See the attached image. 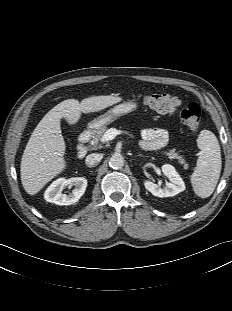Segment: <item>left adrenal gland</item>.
<instances>
[{"mask_svg": "<svg viewBox=\"0 0 232 311\" xmlns=\"http://www.w3.org/2000/svg\"><path fill=\"white\" fill-rule=\"evenodd\" d=\"M138 156H141V157H142L143 155H142V154H139Z\"/></svg>", "mask_w": 232, "mask_h": 311, "instance_id": "a2214340", "label": "left adrenal gland"}]
</instances>
